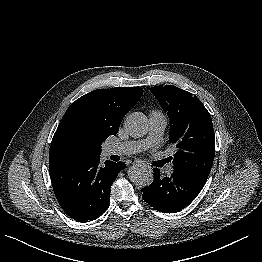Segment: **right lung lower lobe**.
<instances>
[{"label":"right lung lower lobe","mask_w":262,"mask_h":262,"mask_svg":"<svg viewBox=\"0 0 262 262\" xmlns=\"http://www.w3.org/2000/svg\"><path fill=\"white\" fill-rule=\"evenodd\" d=\"M123 162L100 156L65 163H50L49 170L55 196L63 210L74 220L86 222L100 217L110 205V188Z\"/></svg>","instance_id":"obj_1"}]
</instances>
